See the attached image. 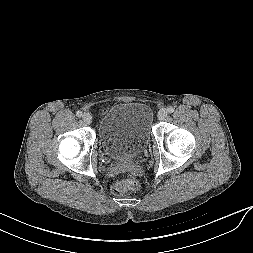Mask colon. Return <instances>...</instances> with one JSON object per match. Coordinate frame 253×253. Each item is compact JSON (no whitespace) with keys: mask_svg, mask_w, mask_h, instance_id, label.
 Here are the masks:
<instances>
[{"mask_svg":"<svg viewBox=\"0 0 253 253\" xmlns=\"http://www.w3.org/2000/svg\"><path fill=\"white\" fill-rule=\"evenodd\" d=\"M138 188V180L132 177H127L115 182L111 188V191L114 195H124L130 191L137 190Z\"/></svg>","mask_w":253,"mask_h":253,"instance_id":"5ec220e1","label":"colon"}]
</instances>
